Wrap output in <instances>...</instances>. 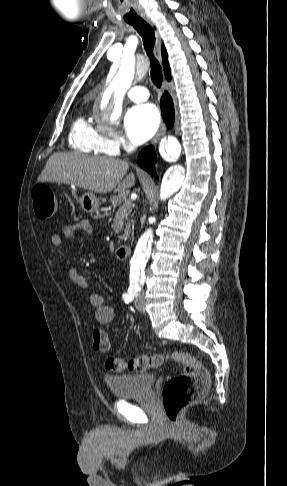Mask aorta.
Returning a JSON list of instances; mask_svg holds the SVG:
<instances>
[{
  "instance_id": "obj_1",
  "label": "aorta",
  "mask_w": 287,
  "mask_h": 486,
  "mask_svg": "<svg viewBox=\"0 0 287 486\" xmlns=\"http://www.w3.org/2000/svg\"><path fill=\"white\" fill-rule=\"evenodd\" d=\"M135 75V67L131 62L122 61L116 75L109 83L104 97L96 102L95 116L104 123H114L118 120L122 111V99L132 84ZM167 153L178 158L181 153V145L177 138L169 136L165 143ZM184 181L182 167H176L166 178L160 191L161 199H166L177 192ZM153 242L151 229L146 230L139 238L133 257L131 259L130 281H142L144 266L150 256Z\"/></svg>"
}]
</instances>
